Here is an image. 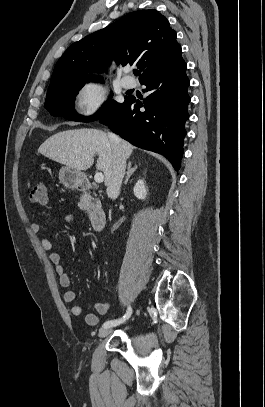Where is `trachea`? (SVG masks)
<instances>
[{
  "instance_id": "obj_1",
  "label": "trachea",
  "mask_w": 265,
  "mask_h": 407,
  "mask_svg": "<svg viewBox=\"0 0 265 407\" xmlns=\"http://www.w3.org/2000/svg\"><path fill=\"white\" fill-rule=\"evenodd\" d=\"M133 73H134V75H135V76L140 75V72H139V71H137V70H134V71H133Z\"/></svg>"
}]
</instances>
